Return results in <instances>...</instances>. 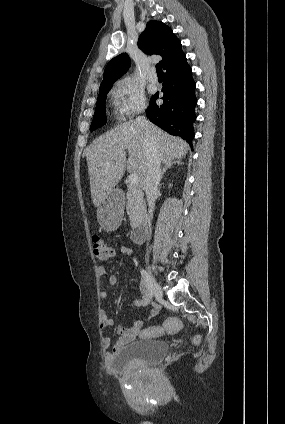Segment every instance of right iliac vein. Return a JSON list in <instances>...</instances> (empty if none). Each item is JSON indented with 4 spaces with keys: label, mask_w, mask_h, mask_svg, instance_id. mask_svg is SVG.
<instances>
[{
    "label": "right iliac vein",
    "mask_w": 285,
    "mask_h": 424,
    "mask_svg": "<svg viewBox=\"0 0 285 424\" xmlns=\"http://www.w3.org/2000/svg\"><path fill=\"white\" fill-rule=\"evenodd\" d=\"M149 277H150V283L152 286L154 296L156 297L157 300H162L163 293H162L161 287L159 286V284L156 282V280L154 279L152 275H149Z\"/></svg>",
    "instance_id": "obj_1"
}]
</instances>
